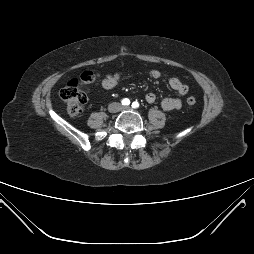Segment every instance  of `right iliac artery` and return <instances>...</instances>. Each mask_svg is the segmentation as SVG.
Returning a JSON list of instances; mask_svg holds the SVG:
<instances>
[{"mask_svg": "<svg viewBox=\"0 0 254 254\" xmlns=\"http://www.w3.org/2000/svg\"><path fill=\"white\" fill-rule=\"evenodd\" d=\"M121 103H122V105L127 106V105L130 104V100L127 99V98H125V99H123V100L121 101Z\"/></svg>", "mask_w": 254, "mask_h": 254, "instance_id": "right-iliac-artery-1", "label": "right iliac artery"}]
</instances>
